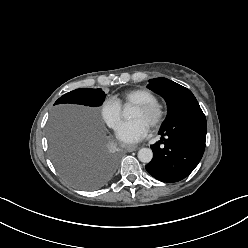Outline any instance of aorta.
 Returning a JSON list of instances; mask_svg holds the SVG:
<instances>
[{"mask_svg":"<svg viewBox=\"0 0 248 248\" xmlns=\"http://www.w3.org/2000/svg\"><path fill=\"white\" fill-rule=\"evenodd\" d=\"M124 117H129V111L126 107L123 112ZM153 152L150 148H141L138 151V159L143 163H149L152 160Z\"/></svg>","mask_w":248,"mask_h":248,"instance_id":"aorta-1","label":"aorta"}]
</instances>
